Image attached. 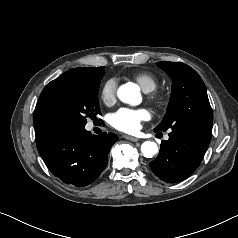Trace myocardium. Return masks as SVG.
I'll return each mask as SVG.
<instances>
[{"label": "myocardium", "instance_id": "obj_1", "mask_svg": "<svg viewBox=\"0 0 238 238\" xmlns=\"http://www.w3.org/2000/svg\"><path fill=\"white\" fill-rule=\"evenodd\" d=\"M148 99L158 106L162 105L164 100L163 96L157 92H150L148 94Z\"/></svg>", "mask_w": 238, "mask_h": 238}]
</instances>
